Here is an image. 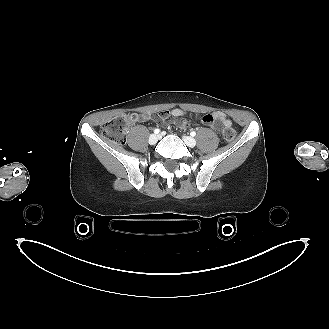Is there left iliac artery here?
<instances>
[{
	"mask_svg": "<svg viewBox=\"0 0 329 329\" xmlns=\"http://www.w3.org/2000/svg\"><path fill=\"white\" fill-rule=\"evenodd\" d=\"M190 135H191V136H196V132H195V131H192V132L190 133Z\"/></svg>",
	"mask_w": 329,
	"mask_h": 329,
	"instance_id": "obj_1",
	"label": "left iliac artery"
}]
</instances>
